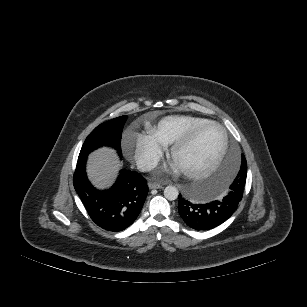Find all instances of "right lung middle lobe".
I'll return each mask as SVG.
<instances>
[{
  "mask_svg": "<svg viewBox=\"0 0 307 307\" xmlns=\"http://www.w3.org/2000/svg\"><path fill=\"white\" fill-rule=\"evenodd\" d=\"M127 116H120L97 126L86 138L79 157H86L90 152L101 146H110L121 155V137Z\"/></svg>",
  "mask_w": 307,
  "mask_h": 307,
  "instance_id": "1",
  "label": "right lung middle lobe"
}]
</instances>
